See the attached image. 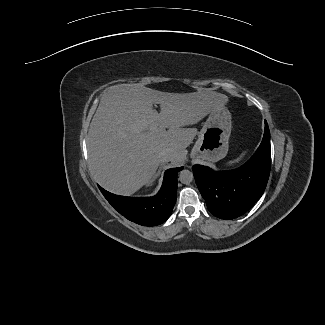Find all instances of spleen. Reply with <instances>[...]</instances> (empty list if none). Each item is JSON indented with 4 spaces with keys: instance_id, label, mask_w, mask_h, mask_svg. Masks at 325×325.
<instances>
[{
    "instance_id": "obj_1",
    "label": "spleen",
    "mask_w": 325,
    "mask_h": 325,
    "mask_svg": "<svg viewBox=\"0 0 325 325\" xmlns=\"http://www.w3.org/2000/svg\"><path fill=\"white\" fill-rule=\"evenodd\" d=\"M245 154H246V151H244L237 159H235V160H232V161H229L227 164H226V166H232V165H234V164H236V163H239L242 159H243V157L245 156Z\"/></svg>"
}]
</instances>
